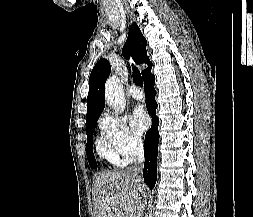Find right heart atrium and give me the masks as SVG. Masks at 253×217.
I'll use <instances>...</instances> for the list:
<instances>
[{
	"mask_svg": "<svg viewBox=\"0 0 253 217\" xmlns=\"http://www.w3.org/2000/svg\"><path fill=\"white\" fill-rule=\"evenodd\" d=\"M99 126L125 162L142 149V136L127 123L124 117L104 113L99 120Z\"/></svg>",
	"mask_w": 253,
	"mask_h": 217,
	"instance_id": "obj_1",
	"label": "right heart atrium"
}]
</instances>
